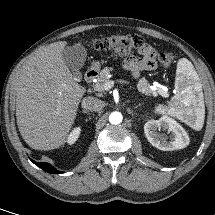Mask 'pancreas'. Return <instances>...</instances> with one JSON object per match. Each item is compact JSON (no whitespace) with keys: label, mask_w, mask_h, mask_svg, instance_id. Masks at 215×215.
Segmentation results:
<instances>
[{"label":"pancreas","mask_w":215,"mask_h":215,"mask_svg":"<svg viewBox=\"0 0 215 215\" xmlns=\"http://www.w3.org/2000/svg\"><path fill=\"white\" fill-rule=\"evenodd\" d=\"M113 71L112 67H105L99 74L97 82L94 84V88L96 91H104V84L109 80L110 73ZM138 90L145 95H157V92L151 89V85L145 78L139 80L137 84Z\"/></svg>","instance_id":"cf45deb5"}]
</instances>
